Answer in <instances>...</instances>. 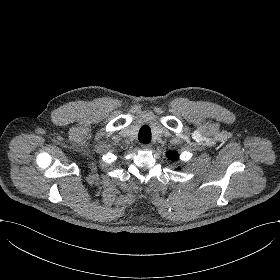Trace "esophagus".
I'll return each instance as SVG.
<instances>
[{
    "label": "esophagus",
    "instance_id": "1",
    "mask_svg": "<svg viewBox=\"0 0 280 280\" xmlns=\"http://www.w3.org/2000/svg\"><path fill=\"white\" fill-rule=\"evenodd\" d=\"M141 147L143 148L144 151H150L152 149L151 144H142Z\"/></svg>",
    "mask_w": 280,
    "mask_h": 280
}]
</instances>
